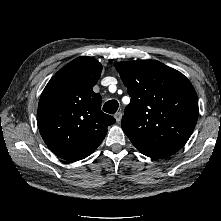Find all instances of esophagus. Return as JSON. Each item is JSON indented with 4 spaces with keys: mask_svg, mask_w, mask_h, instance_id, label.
Here are the masks:
<instances>
[{
    "mask_svg": "<svg viewBox=\"0 0 221 221\" xmlns=\"http://www.w3.org/2000/svg\"><path fill=\"white\" fill-rule=\"evenodd\" d=\"M114 117L116 119V122L119 123L121 121V118H122V113L120 111L116 112Z\"/></svg>",
    "mask_w": 221,
    "mask_h": 221,
    "instance_id": "esophagus-1",
    "label": "esophagus"
}]
</instances>
